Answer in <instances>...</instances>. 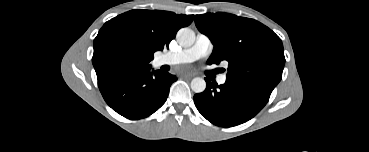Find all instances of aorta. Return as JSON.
Listing matches in <instances>:
<instances>
[{
	"label": "aorta",
	"instance_id": "aorta-1",
	"mask_svg": "<svg viewBox=\"0 0 369 152\" xmlns=\"http://www.w3.org/2000/svg\"><path fill=\"white\" fill-rule=\"evenodd\" d=\"M177 41L183 47H190L195 42V33L189 28H181L177 32ZM191 89L195 93H201L206 89V82L203 78L196 77L191 81Z\"/></svg>",
	"mask_w": 369,
	"mask_h": 152
}]
</instances>
